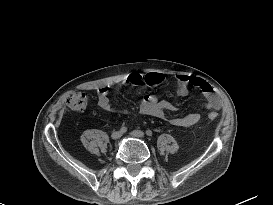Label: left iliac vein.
<instances>
[{
    "label": "left iliac vein",
    "instance_id": "1",
    "mask_svg": "<svg viewBox=\"0 0 273 205\" xmlns=\"http://www.w3.org/2000/svg\"><path fill=\"white\" fill-rule=\"evenodd\" d=\"M130 135L132 137H135V138H144L145 137V134L143 131H140V130H134L130 133Z\"/></svg>",
    "mask_w": 273,
    "mask_h": 205
}]
</instances>
